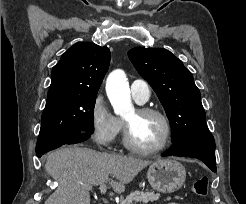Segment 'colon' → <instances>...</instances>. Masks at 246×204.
<instances>
[{"mask_svg":"<svg viewBox=\"0 0 246 204\" xmlns=\"http://www.w3.org/2000/svg\"><path fill=\"white\" fill-rule=\"evenodd\" d=\"M192 191L198 196H205L208 192V179L206 177L197 179L193 183Z\"/></svg>","mask_w":246,"mask_h":204,"instance_id":"obj_1","label":"colon"}]
</instances>
